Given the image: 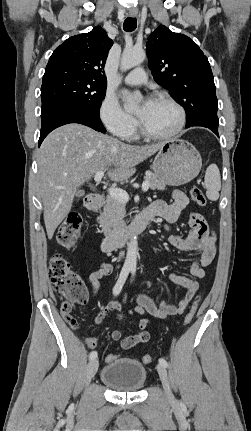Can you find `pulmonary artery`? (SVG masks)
<instances>
[{
	"label": "pulmonary artery",
	"mask_w": 251,
	"mask_h": 431,
	"mask_svg": "<svg viewBox=\"0 0 251 431\" xmlns=\"http://www.w3.org/2000/svg\"><path fill=\"white\" fill-rule=\"evenodd\" d=\"M124 81L130 85H141L147 81V75L143 68H136L124 77Z\"/></svg>",
	"instance_id": "1"
}]
</instances>
